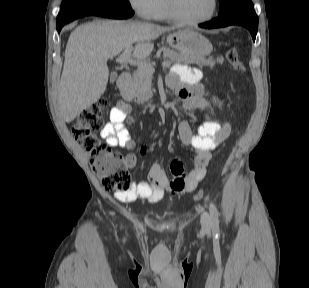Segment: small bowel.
Returning <instances> with one entry per match:
<instances>
[{
  "instance_id": "1",
  "label": "small bowel",
  "mask_w": 309,
  "mask_h": 288,
  "mask_svg": "<svg viewBox=\"0 0 309 288\" xmlns=\"http://www.w3.org/2000/svg\"><path fill=\"white\" fill-rule=\"evenodd\" d=\"M201 72L197 68L189 69L178 65L167 78V84L174 89L182 100L185 111H198L208 108L204 88L199 84ZM132 119L130 107L123 101H118L111 109L110 120L102 128L100 135L111 147H120L133 150L135 142L130 132ZM231 132L229 122L205 121L201 123L194 133L187 121H180L178 133L181 141L194 149L192 168L184 170L180 160H174L170 165L171 177L158 163H154L148 173V182L133 183L129 192L115 194V199L123 203H132L137 200L150 202L159 201L165 188L173 194H184L196 189L206 174V167L210 161L211 153L217 150ZM137 157L134 154L126 156V165L132 169L136 166Z\"/></svg>"
}]
</instances>
